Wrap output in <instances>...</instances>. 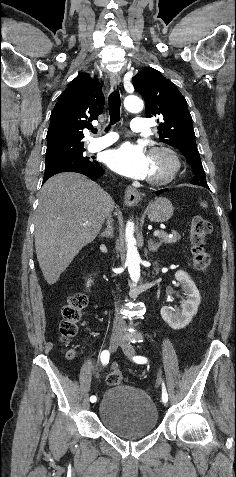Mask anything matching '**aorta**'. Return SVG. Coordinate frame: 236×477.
<instances>
[{
	"label": "aorta",
	"instance_id": "1",
	"mask_svg": "<svg viewBox=\"0 0 236 477\" xmlns=\"http://www.w3.org/2000/svg\"><path fill=\"white\" fill-rule=\"evenodd\" d=\"M124 107L129 112H139L143 109V101L135 95H129L124 99ZM125 237L127 242L126 265L131 280L137 283L140 279V256L135 246L136 240L134 238V223L127 222Z\"/></svg>",
	"mask_w": 236,
	"mask_h": 477
}]
</instances>
